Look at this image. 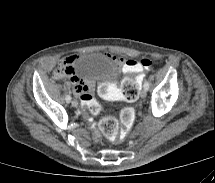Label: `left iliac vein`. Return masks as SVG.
Listing matches in <instances>:
<instances>
[{
  "mask_svg": "<svg viewBox=\"0 0 215 183\" xmlns=\"http://www.w3.org/2000/svg\"><path fill=\"white\" fill-rule=\"evenodd\" d=\"M146 95H147L146 89L141 90V92H140V97H141V98H145Z\"/></svg>",
  "mask_w": 215,
  "mask_h": 183,
  "instance_id": "obj_1",
  "label": "left iliac vein"
}]
</instances>
